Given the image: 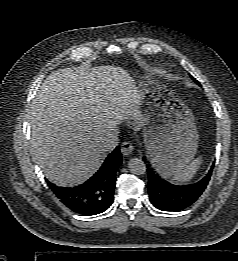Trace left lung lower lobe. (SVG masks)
Listing matches in <instances>:
<instances>
[{"label": "left lung lower lobe", "instance_id": "left-lung-lower-lobe-1", "mask_svg": "<svg viewBox=\"0 0 238 261\" xmlns=\"http://www.w3.org/2000/svg\"><path fill=\"white\" fill-rule=\"evenodd\" d=\"M145 158V157H144ZM214 163L205 177L191 185H174L147 166L148 193L151 203L163 211H181L193 204L204 192L211 178Z\"/></svg>", "mask_w": 238, "mask_h": 261}]
</instances>
